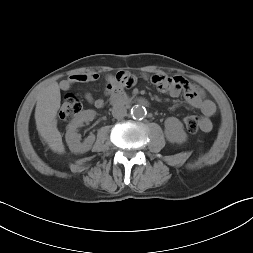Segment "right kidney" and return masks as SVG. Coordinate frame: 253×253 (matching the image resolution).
Segmentation results:
<instances>
[{
	"mask_svg": "<svg viewBox=\"0 0 253 253\" xmlns=\"http://www.w3.org/2000/svg\"><path fill=\"white\" fill-rule=\"evenodd\" d=\"M96 115L93 110H85L77 115L67 127L65 135L69 149L74 153H84L91 149L95 136L91 134L83 143L80 142L81 136L77 133V128L81 127L84 122L92 121Z\"/></svg>",
	"mask_w": 253,
	"mask_h": 253,
	"instance_id": "right-kidney-1",
	"label": "right kidney"
}]
</instances>
